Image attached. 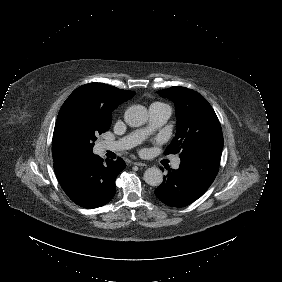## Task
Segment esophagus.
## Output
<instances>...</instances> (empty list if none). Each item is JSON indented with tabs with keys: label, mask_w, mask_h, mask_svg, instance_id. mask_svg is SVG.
Listing matches in <instances>:
<instances>
[{
	"label": "esophagus",
	"mask_w": 282,
	"mask_h": 282,
	"mask_svg": "<svg viewBox=\"0 0 282 282\" xmlns=\"http://www.w3.org/2000/svg\"><path fill=\"white\" fill-rule=\"evenodd\" d=\"M134 165L139 166V167H146L147 165L142 162H133Z\"/></svg>",
	"instance_id": "obj_1"
}]
</instances>
